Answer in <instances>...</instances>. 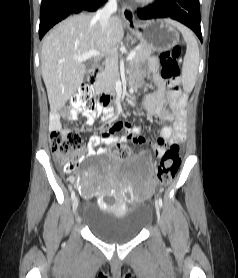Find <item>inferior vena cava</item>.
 I'll use <instances>...</instances> for the list:
<instances>
[{
    "label": "inferior vena cava",
    "mask_w": 238,
    "mask_h": 278,
    "mask_svg": "<svg viewBox=\"0 0 238 278\" xmlns=\"http://www.w3.org/2000/svg\"><path fill=\"white\" fill-rule=\"evenodd\" d=\"M117 10V0H108L103 9L96 12L95 18L99 21L102 32L106 31L110 16Z\"/></svg>",
    "instance_id": "obj_1"
}]
</instances>
